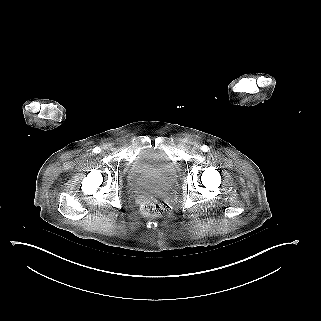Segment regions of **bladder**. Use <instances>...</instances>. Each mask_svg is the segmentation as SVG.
<instances>
[{
  "mask_svg": "<svg viewBox=\"0 0 321 321\" xmlns=\"http://www.w3.org/2000/svg\"><path fill=\"white\" fill-rule=\"evenodd\" d=\"M178 166L163 149L148 147L139 152L127 172L130 190L166 191L178 180Z\"/></svg>",
  "mask_w": 321,
  "mask_h": 321,
  "instance_id": "obj_1",
  "label": "bladder"
}]
</instances>
